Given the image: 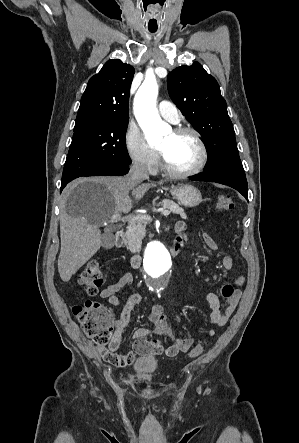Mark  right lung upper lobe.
Masks as SVG:
<instances>
[{"label": "right lung upper lobe", "instance_id": "right-lung-upper-lobe-1", "mask_svg": "<svg viewBox=\"0 0 299 443\" xmlns=\"http://www.w3.org/2000/svg\"><path fill=\"white\" fill-rule=\"evenodd\" d=\"M134 68L119 59L107 61L89 80L75 127L105 120H129V90Z\"/></svg>", "mask_w": 299, "mask_h": 443}]
</instances>
